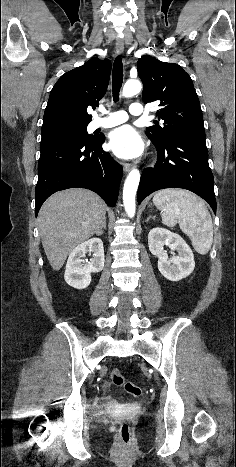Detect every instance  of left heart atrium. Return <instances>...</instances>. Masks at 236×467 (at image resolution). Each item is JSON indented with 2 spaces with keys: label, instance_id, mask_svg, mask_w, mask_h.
<instances>
[{
  "label": "left heart atrium",
  "instance_id": "1",
  "mask_svg": "<svg viewBox=\"0 0 236 467\" xmlns=\"http://www.w3.org/2000/svg\"><path fill=\"white\" fill-rule=\"evenodd\" d=\"M109 147L118 157L124 159L134 158L143 151L141 138L130 125H123L111 132Z\"/></svg>",
  "mask_w": 236,
  "mask_h": 467
}]
</instances>
